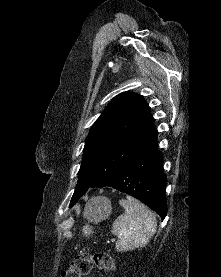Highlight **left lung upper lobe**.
<instances>
[{"mask_svg": "<svg viewBox=\"0 0 221 277\" xmlns=\"http://www.w3.org/2000/svg\"><path fill=\"white\" fill-rule=\"evenodd\" d=\"M157 134L143 96L124 92L114 97L91 127L72 199L110 175Z\"/></svg>", "mask_w": 221, "mask_h": 277, "instance_id": "5c2ea615", "label": "left lung upper lobe"}]
</instances>
